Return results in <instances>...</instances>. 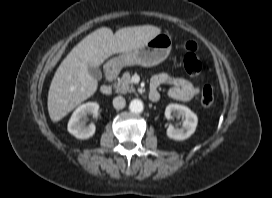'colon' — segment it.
I'll return each mask as SVG.
<instances>
[{
	"label": "colon",
	"mask_w": 272,
	"mask_h": 198,
	"mask_svg": "<svg viewBox=\"0 0 272 198\" xmlns=\"http://www.w3.org/2000/svg\"><path fill=\"white\" fill-rule=\"evenodd\" d=\"M185 56L183 58V66L190 75H198L202 70V62L198 56V45L193 41H188L184 45ZM215 91L210 85L204 86L201 93V104L209 108L214 104Z\"/></svg>",
	"instance_id": "obj_1"
}]
</instances>
